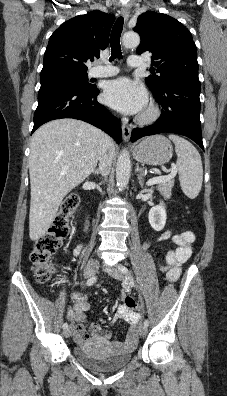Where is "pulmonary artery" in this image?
<instances>
[{"instance_id":"obj_1","label":"pulmonary artery","mask_w":227,"mask_h":396,"mask_svg":"<svg viewBox=\"0 0 227 396\" xmlns=\"http://www.w3.org/2000/svg\"><path fill=\"white\" fill-rule=\"evenodd\" d=\"M128 65L130 67H140L143 65V60L136 55L129 56ZM119 72L118 68L115 66L107 65V66H95L91 69L90 75L92 77H110L114 76Z\"/></svg>"}]
</instances>
